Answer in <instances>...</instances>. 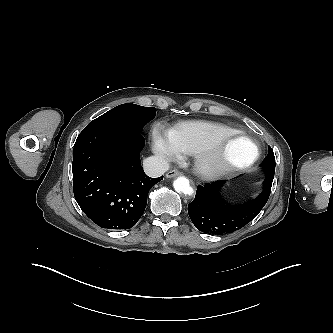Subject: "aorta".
Listing matches in <instances>:
<instances>
[{
  "mask_svg": "<svg viewBox=\"0 0 333 333\" xmlns=\"http://www.w3.org/2000/svg\"><path fill=\"white\" fill-rule=\"evenodd\" d=\"M173 187L177 192L183 193L185 195H192L194 192L190 185L189 179L184 176L176 178L173 182Z\"/></svg>",
  "mask_w": 333,
  "mask_h": 333,
  "instance_id": "1",
  "label": "aorta"
}]
</instances>
